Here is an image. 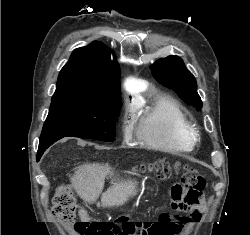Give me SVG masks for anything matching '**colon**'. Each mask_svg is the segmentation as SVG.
<instances>
[{
  "label": "colon",
  "instance_id": "obj_1",
  "mask_svg": "<svg viewBox=\"0 0 250 235\" xmlns=\"http://www.w3.org/2000/svg\"><path fill=\"white\" fill-rule=\"evenodd\" d=\"M179 164H172L167 160H157L151 164L142 165L143 171L152 172L159 179H167L177 172ZM206 179L203 174L193 168L184 166L181 173V183L171 189V200L174 209L182 210L184 204L198 205L202 193L206 188ZM76 201L67 185H61L53 199L52 211L61 221L73 227L79 235H129L139 231L140 235H165L166 229L158 220L137 226L128 218L122 217L110 222H85L76 219Z\"/></svg>",
  "mask_w": 250,
  "mask_h": 235
}]
</instances>
